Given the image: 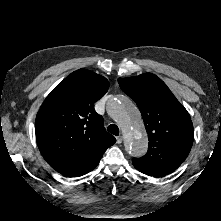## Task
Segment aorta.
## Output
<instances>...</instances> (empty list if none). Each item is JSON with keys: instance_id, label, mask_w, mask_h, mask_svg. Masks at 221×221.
Returning a JSON list of instances; mask_svg holds the SVG:
<instances>
[{"instance_id": "1", "label": "aorta", "mask_w": 221, "mask_h": 221, "mask_svg": "<svg viewBox=\"0 0 221 221\" xmlns=\"http://www.w3.org/2000/svg\"><path fill=\"white\" fill-rule=\"evenodd\" d=\"M107 111L122 130L126 151L135 157L144 155L148 141L137 107L127 98H115L108 102Z\"/></svg>"}]
</instances>
